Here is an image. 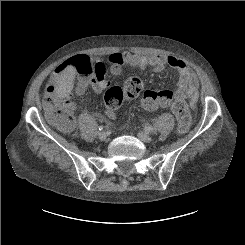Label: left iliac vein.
I'll return each instance as SVG.
<instances>
[{"label": "left iliac vein", "mask_w": 245, "mask_h": 245, "mask_svg": "<svg viewBox=\"0 0 245 245\" xmlns=\"http://www.w3.org/2000/svg\"><path fill=\"white\" fill-rule=\"evenodd\" d=\"M137 136L143 142H150L152 140L151 136H149L147 133L142 132V131L138 132Z\"/></svg>", "instance_id": "1"}]
</instances>
